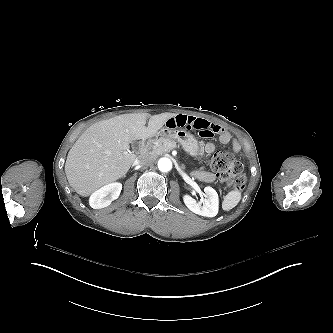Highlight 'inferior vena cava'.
Wrapping results in <instances>:
<instances>
[{
  "mask_svg": "<svg viewBox=\"0 0 333 333\" xmlns=\"http://www.w3.org/2000/svg\"><path fill=\"white\" fill-rule=\"evenodd\" d=\"M153 162H154V158L153 157L143 156V157L137 159V162L135 163V165H138V164L150 165V164H153Z\"/></svg>",
  "mask_w": 333,
  "mask_h": 333,
  "instance_id": "obj_1",
  "label": "inferior vena cava"
}]
</instances>
